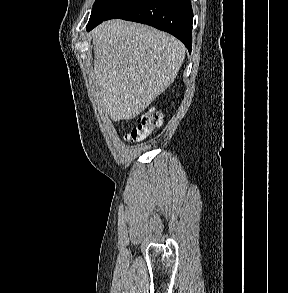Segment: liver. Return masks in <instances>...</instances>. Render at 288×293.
I'll list each match as a JSON object with an SVG mask.
<instances>
[{"label":"liver","mask_w":288,"mask_h":293,"mask_svg":"<svg viewBox=\"0 0 288 293\" xmlns=\"http://www.w3.org/2000/svg\"><path fill=\"white\" fill-rule=\"evenodd\" d=\"M93 35L100 98L116 122L144 111L172 84L185 58L178 39L139 23L109 20Z\"/></svg>","instance_id":"obj_1"}]
</instances>
